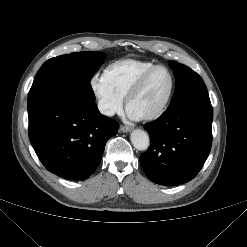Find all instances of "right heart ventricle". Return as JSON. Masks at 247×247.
I'll return each instance as SVG.
<instances>
[{
  "mask_svg": "<svg viewBox=\"0 0 247 247\" xmlns=\"http://www.w3.org/2000/svg\"><path fill=\"white\" fill-rule=\"evenodd\" d=\"M153 66L150 61L122 59L110 64L105 73L115 90L125 97L141 75Z\"/></svg>",
  "mask_w": 247,
  "mask_h": 247,
  "instance_id": "e07e8e85",
  "label": "right heart ventricle"
}]
</instances>
